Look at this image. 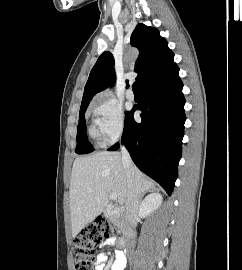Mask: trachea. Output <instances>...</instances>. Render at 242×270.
Returning a JSON list of instances; mask_svg holds the SVG:
<instances>
[{"instance_id":"1","label":"trachea","mask_w":242,"mask_h":270,"mask_svg":"<svg viewBox=\"0 0 242 270\" xmlns=\"http://www.w3.org/2000/svg\"><path fill=\"white\" fill-rule=\"evenodd\" d=\"M132 89L134 92H140V86L138 82H134Z\"/></svg>"}]
</instances>
